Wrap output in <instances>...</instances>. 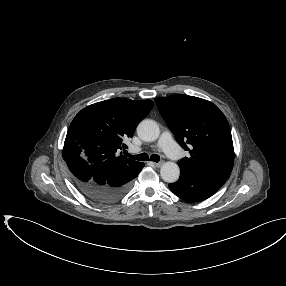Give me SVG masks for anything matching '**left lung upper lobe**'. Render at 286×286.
Here are the masks:
<instances>
[{
	"mask_svg": "<svg viewBox=\"0 0 286 286\" xmlns=\"http://www.w3.org/2000/svg\"><path fill=\"white\" fill-rule=\"evenodd\" d=\"M155 102L178 143L190 153L178 162L180 169L224 185L233 168L234 148L229 123L220 109L185 94L155 98Z\"/></svg>",
	"mask_w": 286,
	"mask_h": 286,
	"instance_id": "left-lung-upper-lobe-1",
	"label": "left lung upper lobe"
}]
</instances>
